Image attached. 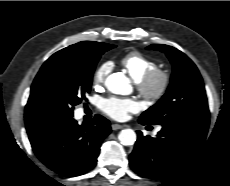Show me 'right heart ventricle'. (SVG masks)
Listing matches in <instances>:
<instances>
[{"label":"right heart ventricle","instance_id":"1","mask_svg":"<svg viewBox=\"0 0 230 186\" xmlns=\"http://www.w3.org/2000/svg\"><path fill=\"white\" fill-rule=\"evenodd\" d=\"M120 64L135 82L157 66L155 60L138 51H131L122 56Z\"/></svg>","mask_w":230,"mask_h":186}]
</instances>
